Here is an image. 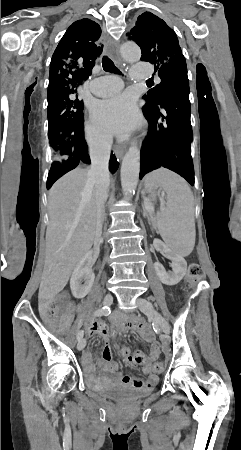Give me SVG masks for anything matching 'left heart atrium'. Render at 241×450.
Returning <instances> with one entry per match:
<instances>
[{
	"label": "left heart atrium",
	"instance_id": "left-heart-atrium-1",
	"mask_svg": "<svg viewBox=\"0 0 241 450\" xmlns=\"http://www.w3.org/2000/svg\"><path fill=\"white\" fill-rule=\"evenodd\" d=\"M91 117L95 125L116 136H126L141 124L135 100L128 93L97 102Z\"/></svg>",
	"mask_w": 241,
	"mask_h": 450
}]
</instances>
